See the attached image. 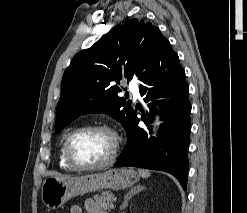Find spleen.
I'll use <instances>...</instances> for the list:
<instances>
[{
	"label": "spleen",
	"instance_id": "spleen-1",
	"mask_svg": "<svg viewBox=\"0 0 247 213\" xmlns=\"http://www.w3.org/2000/svg\"><path fill=\"white\" fill-rule=\"evenodd\" d=\"M138 173L141 177L143 178H147L150 176V173L147 171V170H142V169H139L138 170Z\"/></svg>",
	"mask_w": 247,
	"mask_h": 213
}]
</instances>
